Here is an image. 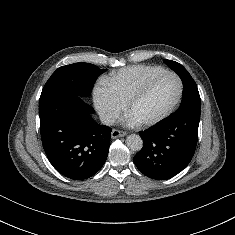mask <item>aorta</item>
I'll return each instance as SVG.
<instances>
[{
  "label": "aorta",
  "mask_w": 235,
  "mask_h": 235,
  "mask_svg": "<svg viewBox=\"0 0 235 235\" xmlns=\"http://www.w3.org/2000/svg\"><path fill=\"white\" fill-rule=\"evenodd\" d=\"M126 144L132 151H140L143 147V140L141 136L137 134H131L126 139Z\"/></svg>",
  "instance_id": "762f6f07"
}]
</instances>
